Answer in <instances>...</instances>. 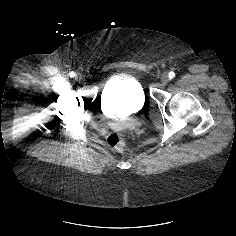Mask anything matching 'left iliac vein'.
Returning a JSON list of instances; mask_svg holds the SVG:
<instances>
[{
	"mask_svg": "<svg viewBox=\"0 0 236 236\" xmlns=\"http://www.w3.org/2000/svg\"><path fill=\"white\" fill-rule=\"evenodd\" d=\"M161 82H162L163 84H166V83L169 82V76H168V74H166V73L162 74V76H161Z\"/></svg>",
	"mask_w": 236,
	"mask_h": 236,
	"instance_id": "left-iliac-vein-1",
	"label": "left iliac vein"
}]
</instances>
